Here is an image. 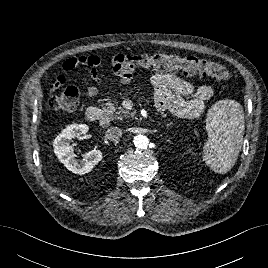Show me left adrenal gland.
<instances>
[{
	"label": "left adrenal gland",
	"instance_id": "a2214340",
	"mask_svg": "<svg viewBox=\"0 0 268 268\" xmlns=\"http://www.w3.org/2000/svg\"><path fill=\"white\" fill-rule=\"evenodd\" d=\"M171 125H172V123L168 124L167 127H169V126H171Z\"/></svg>",
	"mask_w": 268,
	"mask_h": 268
}]
</instances>
